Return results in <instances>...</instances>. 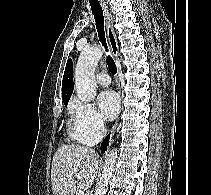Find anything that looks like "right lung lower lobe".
<instances>
[{"mask_svg": "<svg viewBox=\"0 0 211 195\" xmlns=\"http://www.w3.org/2000/svg\"><path fill=\"white\" fill-rule=\"evenodd\" d=\"M109 136H110V134L102 142V145H101V151L102 152H105L107 150V145H108V142H109Z\"/></svg>", "mask_w": 211, "mask_h": 195, "instance_id": "1", "label": "right lung lower lobe"}]
</instances>
